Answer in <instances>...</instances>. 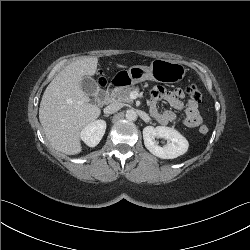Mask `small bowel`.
Wrapping results in <instances>:
<instances>
[{
    "label": "small bowel",
    "mask_w": 250,
    "mask_h": 250,
    "mask_svg": "<svg viewBox=\"0 0 250 250\" xmlns=\"http://www.w3.org/2000/svg\"><path fill=\"white\" fill-rule=\"evenodd\" d=\"M186 97L181 86H176L173 91L166 90L161 86L154 87L151 91L150 112L152 116L161 124L173 123L176 120V114L172 110L160 111L158 102L166 101L173 109L184 111L183 124L188 128H194L201 124L202 117L200 115L197 103L188 101L184 104L182 100Z\"/></svg>",
    "instance_id": "obj_1"
}]
</instances>
